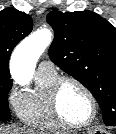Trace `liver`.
<instances>
[{
	"mask_svg": "<svg viewBox=\"0 0 116 134\" xmlns=\"http://www.w3.org/2000/svg\"><path fill=\"white\" fill-rule=\"evenodd\" d=\"M0 134H36L34 131L19 127H0Z\"/></svg>",
	"mask_w": 116,
	"mask_h": 134,
	"instance_id": "obj_1",
	"label": "liver"
}]
</instances>
